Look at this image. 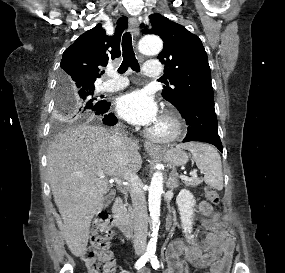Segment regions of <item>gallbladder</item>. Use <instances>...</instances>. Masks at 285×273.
I'll return each mask as SVG.
<instances>
[{
    "label": "gallbladder",
    "instance_id": "bac80fb5",
    "mask_svg": "<svg viewBox=\"0 0 285 273\" xmlns=\"http://www.w3.org/2000/svg\"><path fill=\"white\" fill-rule=\"evenodd\" d=\"M112 198H113L112 192H110L107 196H105V198H104L105 205H108L111 202Z\"/></svg>",
    "mask_w": 285,
    "mask_h": 273
}]
</instances>
